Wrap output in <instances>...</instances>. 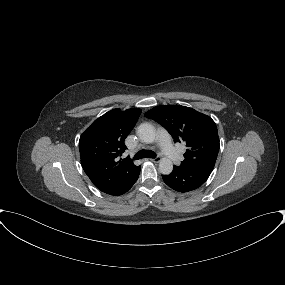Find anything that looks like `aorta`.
I'll list each match as a JSON object with an SVG mask.
<instances>
[{"mask_svg": "<svg viewBox=\"0 0 285 285\" xmlns=\"http://www.w3.org/2000/svg\"><path fill=\"white\" fill-rule=\"evenodd\" d=\"M137 135L139 139L146 143H153L156 139V131L154 127L148 123H143L137 128ZM173 170L172 161L169 158H161L159 160V171L164 175H168Z\"/></svg>", "mask_w": 285, "mask_h": 285, "instance_id": "obj_1", "label": "aorta"}]
</instances>
